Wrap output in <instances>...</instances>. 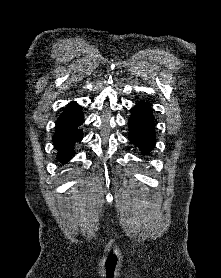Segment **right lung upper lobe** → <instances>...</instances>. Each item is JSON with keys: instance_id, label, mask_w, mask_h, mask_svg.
<instances>
[{"instance_id": "right-lung-upper-lobe-1", "label": "right lung upper lobe", "mask_w": 221, "mask_h": 278, "mask_svg": "<svg viewBox=\"0 0 221 278\" xmlns=\"http://www.w3.org/2000/svg\"><path fill=\"white\" fill-rule=\"evenodd\" d=\"M80 110H81L80 106H78L75 102L68 104L67 107L65 108V110L63 111V113L57 119L56 124L73 117L74 115L79 113Z\"/></svg>"}]
</instances>
